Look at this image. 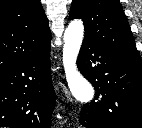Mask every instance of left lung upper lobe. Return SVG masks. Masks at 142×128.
Returning a JSON list of instances; mask_svg holds the SVG:
<instances>
[{
    "mask_svg": "<svg viewBox=\"0 0 142 128\" xmlns=\"http://www.w3.org/2000/svg\"><path fill=\"white\" fill-rule=\"evenodd\" d=\"M70 19L84 21V39L96 42L119 57L141 63L134 38L118 0H72Z\"/></svg>",
    "mask_w": 142,
    "mask_h": 128,
    "instance_id": "5c2ea615",
    "label": "left lung upper lobe"
}]
</instances>
